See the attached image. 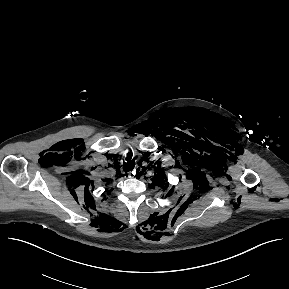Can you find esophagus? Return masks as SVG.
<instances>
[{"mask_svg": "<svg viewBox=\"0 0 289 289\" xmlns=\"http://www.w3.org/2000/svg\"><path fill=\"white\" fill-rule=\"evenodd\" d=\"M128 177H129V178H132V177H133V172H130V173L128 174Z\"/></svg>", "mask_w": 289, "mask_h": 289, "instance_id": "obj_1", "label": "esophagus"}]
</instances>
